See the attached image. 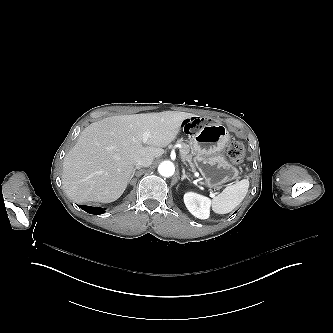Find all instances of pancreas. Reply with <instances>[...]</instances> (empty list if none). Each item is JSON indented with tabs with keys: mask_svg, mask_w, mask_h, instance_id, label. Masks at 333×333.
<instances>
[{
	"mask_svg": "<svg viewBox=\"0 0 333 333\" xmlns=\"http://www.w3.org/2000/svg\"><path fill=\"white\" fill-rule=\"evenodd\" d=\"M190 153L189 146L186 143H182V149H181V156L183 159L184 163H187V166L191 169L194 170V165L191 162V159L189 157H186V154Z\"/></svg>",
	"mask_w": 333,
	"mask_h": 333,
	"instance_id": "pancreas-1",
	"label": "pancreas"
}]
</instances>
